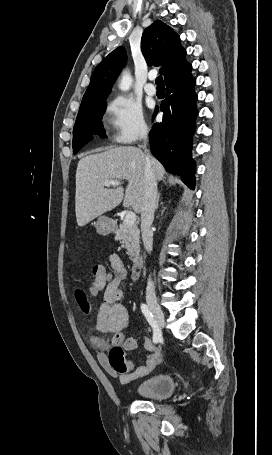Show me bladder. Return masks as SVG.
<instances>
[{"instance_id": "1", "label": "bladder", "mask_w": 272, "mask_h": 455, "mask_svg": "<svg viewBox=\"0 0 272 455\" xmlns=\"http://www.w3.org/2000/svg\"><path fill=\"white\" fill-rule=\"evenodd\" d=\"M176 387L177 383L172 375L161 373L142 382L136 393L146 399H164L171 396Z\"/></svg>"}]
</instances>
